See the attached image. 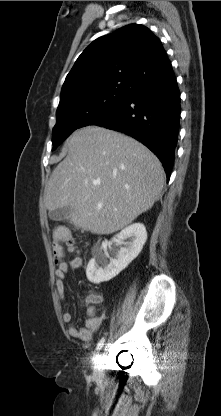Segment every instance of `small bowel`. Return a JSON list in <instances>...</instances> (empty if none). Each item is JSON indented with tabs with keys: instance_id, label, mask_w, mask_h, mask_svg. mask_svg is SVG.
I'll use <instances>...</instances> for the list:
<instances>
[{
	"instance_id": "small-bowel-1",
	"label": "small bowel",
	"mask_w": 221,
	"mask_h": 416,
	"mask_svg": "<svg viewBox=\"0 0 221 416\" xmlns=\"http://www.w3.org/2000/svg\"><path fill=\"white\" fill-rule=\"evenodd\" d=\"M83 259L80 256L74 257L70 261H61L58 263L55 272V285L59 295V299L65 301V279L70 270H76L82 267ZM98 300L101 299L99 295H95ZM92 300V299H91ZM89 317L86 319L84 326L77 327L72 324V315L69 311L64 310L62 314L63 322L68 325V333L72 338L80 339L84 342L91 341L93 334L98 331L102 317L97 316L92 307L88 309Z\"/></svg>"
}]
</instances>
